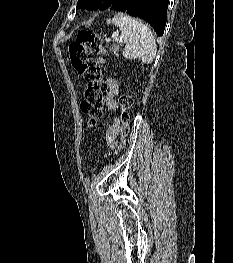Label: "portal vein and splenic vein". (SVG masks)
Listing matches in <instances>:
<instances>
[{
    "label": "portal vein and splenic vein",
    "mask_w": 233,
    "mask_h": 263,
    "mask_svg": "<svg viewBox=\"0 0 233 263\" xmlns=\"http://www.w3.org/2000/svg\"><path fill=\"white\" fill-rule=\"evenodd\" d=\"M112 38H113L115 41H119V42L122 41V40L119 38L118 33H113Z\"/></svg>",
    "instance_id": "obj_1"
}]
</instances>
